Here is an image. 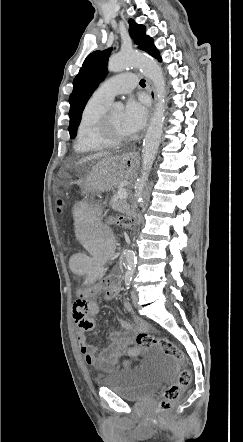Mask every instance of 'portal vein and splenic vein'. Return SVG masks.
<instances>
[{"mask_svg": "<svg viewBox=\"0 0 243 442\" xmlns=\"http://www.w3.org/2000/svg\"><path fill=\"white\" fill-rule=\"evenodd\" d=\"M127 197V192L124 188H119L116 195H115V200L118 199H125Z\"/></svg>", "mask_w": 243, "mask_h": 442, "instance_id": "obj_1", "label": "portal vein and splenic vein"}]
</instances>
